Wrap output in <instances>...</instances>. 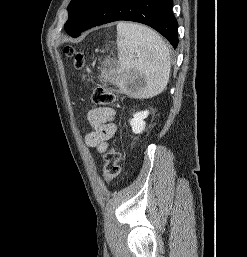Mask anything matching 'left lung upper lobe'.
<instances>
[{"label":"left lung upper lobe","instance_id":"1","mask_svg":"<svg viewBox=\"0 0 247 257\" xmlns=\"http://www.w3.org/2000/svg\"><path fill=\"white\" fill-rule=\"evenodd\" d=\"M97 0H71L68 5L69 17L64 25L71 36L78 31Z\"/></svg>","mask_w":247,"mask_h":257}]
</instances>
